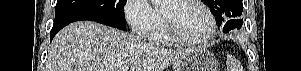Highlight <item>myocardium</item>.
Masks as SVG:
<instances>
[{"label": "myocardium", "mask_w": 301, "mask_h": 71, "mask_svg": "<svg viewBox=\"0 0 301 71\" xmlns=\"http://www.w3.org/2000/svg\"><path fill=\"white\" fill-rule=\"evenodd\" d=\"M176 2H189L193 3L197 6H199L203 11L205 12L206 16L208 17L209 23H210V29L208 34L199 40H194V39H188L185 38L180 34V32L174 27L170 19L167 17V15L161 10L163 21H164V27L169 35V37L176 43L185 45V46H204L208 44L215 36L216 31H217V23L216 19L213 15V13L210 11V9L202 2L198 0H173Z\"/></svg>", "instance_id": "f54148a6"}]
</instances>
